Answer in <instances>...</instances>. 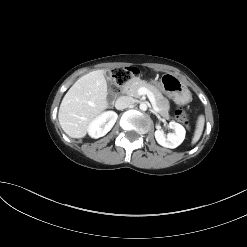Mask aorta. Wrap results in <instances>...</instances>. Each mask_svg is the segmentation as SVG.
Returning a JSON list of instances; mask_svg holds the SVG:
<instances>
[{"label": "aorta", "mask_w": 247, "mask_h": 247, "mask_svg": "<svg viewBox=\"0 0 247 247\" xmlns=\"http://www.w3.org/2000/svg\"><path fill=\"white\" fill-rule=\"evenodd\" d=\"M139 108H140V110H142V111H146L147 108H148V106H147V104H146L145 102H142V103L139 105Z\"/></svg>", "instance_id": "obj_1"}]
</instances>
